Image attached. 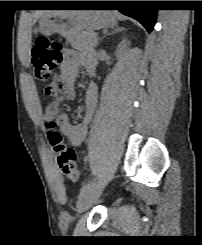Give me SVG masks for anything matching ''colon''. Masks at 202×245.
I'll list each match as a JSON object with an SVG mask.
<instances>
[{"mask_svg": "<svg viewBox=\"0 0 202 245\" xmlns=\"http://www.w3.org/2000/svg\"><path fill=\"white\" fill-rule=\"evenodd\" d=\"M31 60L36 80L39 82L50 80L63 60L60 43L52 42L45 36L38 37L31 52ZM45 94L52 96L54 86L49 85ZM46 127L61 174L67 179L76 181L81 176V170L76 164V153L64 143L63 136L56 128L54 121L46 122Z\"/></svg>", "mask_w": 202, "mask_h": 245, "instance_id": "5ec220e1", "label": "colon"}]
</instances>
